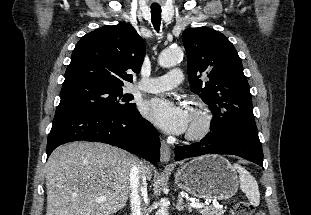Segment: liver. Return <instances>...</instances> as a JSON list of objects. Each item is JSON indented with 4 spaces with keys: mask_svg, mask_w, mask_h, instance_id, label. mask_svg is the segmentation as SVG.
<instances>
[{
    "mask_svg": "<svg viewBox=\"0 0 311 215\" xmlns=\"http://www.w3.org/2000/svg\"><path fill=\"white\" fill-rule=\"evenodd\" d=\"M136 163L151 179L145 162L107 144L72 142L56 148L46 163V215L116 213L126 205L130 170Z\"/></svg>",
    "mask_w": 311,
    "mask_h": 215,
    "instance_id": "6515ba94",
    "label": "liver"
}]
</instances>
